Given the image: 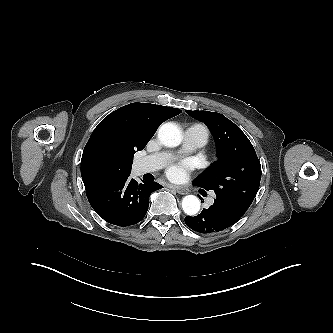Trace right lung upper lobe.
<instances>
[{"mask_svg": "<svg viewBox=\"0 0 333 333\" xmlns=\"http://www.w3.org/2000/svg\"><path fill=\"white\" fill-rule=\"evenodd\" d=\"M182 111L149 103H131L106 116L92 132L82 154L81 176L86 191L112 178L130 175L129 162L117 151L144 149L157 128Z\"/></svg>", "mask_w": 333, "mask_h": 333, "instance_id": "1", "label": "right lung upper lobe"}]
</instances>
